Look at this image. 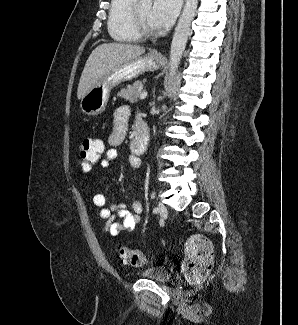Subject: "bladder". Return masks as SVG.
Returning <instances> with one entry per match:
<instances>
[{
	"label": "bladder",
	"mask_w": 298,
	"mask_h": 325,
	"mask_svg": "<svg viewBox=\"0 0 298 325\" xmlns=\"http://www.w3.org/2000/svg\"><path fill=\"white\" fill-rule=\"evenodd\" d=\"M140 275L146 279L158 282L168 283L171 280V274L168 270L162 267H150L143 270Z\"/></svg>",
	"instance_id": "bladder-1"
}]
</instances>
